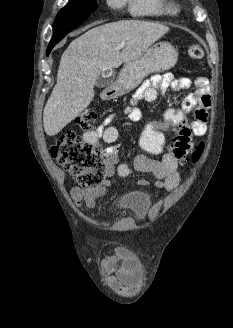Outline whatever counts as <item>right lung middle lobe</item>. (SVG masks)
Segmentation results:
<instances>
[{"label":"right lung middle lobe","mask_w":233,"mask_h":328,"mask_svg":"<svg viewBox=\"0 0 233 328\" xmlns=\"http://www.w3.org/2000/svg\"><path fill=\"white\" fill-rule=\"evenodd\" d=\"M96 0H70L58 13L55 21L85 20L97 8Z\"/></svg>","instance_id":"right-lung-middle-lobe-1"}]
</instances>
